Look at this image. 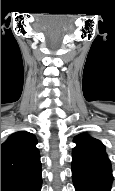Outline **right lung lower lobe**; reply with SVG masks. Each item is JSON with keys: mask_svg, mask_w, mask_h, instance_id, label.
<instances>
[{"mask_svg": "<svg viewBox=\"0 0 115 191\" xmlns=\"http://www.w3.org/2000/svg\"><path fill=\"white\" fill-rule=\"evenodd\" d=\"M41 168L25 175L1 177V191H40Z\"/></svg>", "mask_w": 115, "mask_h": 191, "instance_id": "obj_1", "label": "right lung lower lobe"}]
</instances>
